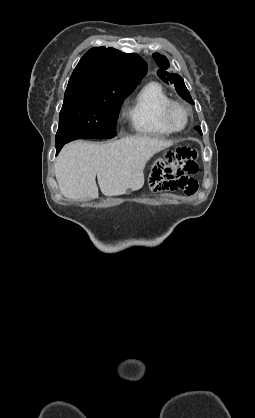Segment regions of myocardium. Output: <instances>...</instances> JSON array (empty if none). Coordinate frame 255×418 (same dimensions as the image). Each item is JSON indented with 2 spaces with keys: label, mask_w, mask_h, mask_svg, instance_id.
I'll use <instances>...</instances> for the list:
<instances>
[{
  "label": "myocardium",
  "mask_w": 255,
  "mask_h": 418,
  "mask_svg": "<svg viewBox=\"0 0 255 418\" xmlns=\"http://www.w3.org/2000/svg\"><path fill=\"white\" fill-rule=\"evenodd\" d=\"M174 107H181L185 113H186V123L182 128H175L170 120V116H171V112L173 110ZM191 120V112L189 107L181 101L178 100H173L170 99L164 106L163 111H162V121L165 124V126L170 129L172 132H181L184 129H186V127L188 126V124L190 123Z\"/></svg>",
  "instance_id": "obj_1"
}]
</instances>
